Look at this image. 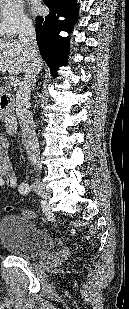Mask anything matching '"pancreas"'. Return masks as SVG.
<instances>
[{
    "label": "pancreas",
    "mask_w": 129,
    "mask_h": 309,
    "mask_svg": "<svg viewBox=\"0 0 129 309\" xmlns=\"http://www.w3.org/2000/svg\"><path fill=\"white\" fill-rule=\"evenodd\" d=\"M3 90V87H0V92Z\"/></svg>",
    "instance_id": "pancreas-1"
}]
</instances>
